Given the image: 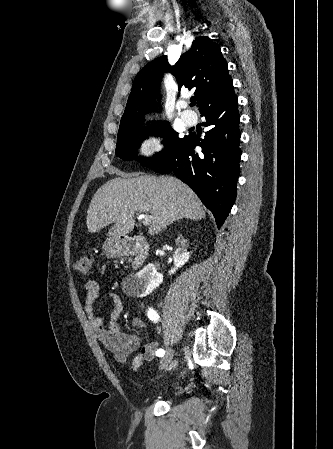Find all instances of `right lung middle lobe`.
Returning a JSON list of instances; mask_svg holds the SVG:
<instances>
[{
  "mask_svg": "<svg viewBox=\"0 0 333 449\" xmlns=\"http://www.w3.org/2000/svg\"><path fill=\"white\" fill-rule=\"evenodd\" d=\"M165 131L166 139L163 142L165 149L153 158H136L141 165L148 168L157 167L168 159L186 138V136L184 138H179L178 133L167 126L165 127ZM118 133L122 134L123 137L117 140L116 156L126 160L135 159L137 149L140 147L141 142L146 139L144 130L138 127L123 128L121 125Z\"/></svg>",
  "mask_w": 333,
  "mask_h": 449,
  "instance_id": "1",
  "label": "right lung middle lobe"
}]
</instances>
